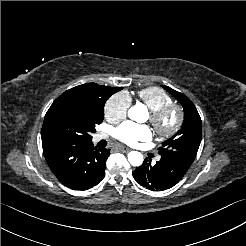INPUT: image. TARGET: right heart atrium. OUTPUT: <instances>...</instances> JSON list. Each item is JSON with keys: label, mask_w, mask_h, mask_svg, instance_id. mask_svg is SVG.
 <instances>
[{"label": "right heart atrium", "mask_w": 246, "mask_h": 246, "mask_svg": "<svg viewBox=\"0 0 246 246\" xmlns=\"http://www.w3.org/2000/svg\"><path fill=\"white\" fill-rule=\"evenodd\" d=\"M131 106V97L125 91L112 95L104 106L105 117L109 122L116 123L127 116Z\"/></svg>", "instance_id": "1"}]
</instances>
